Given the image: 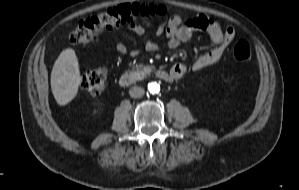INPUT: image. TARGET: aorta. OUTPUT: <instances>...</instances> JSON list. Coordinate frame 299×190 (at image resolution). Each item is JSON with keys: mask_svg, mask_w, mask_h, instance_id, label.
<instances>
[{"mask_svg": "<svg viewBox=\"0 0 299 190\" xmlns=\"http://www.w3.org/2000/svg\"><path fill=\"white\" fill-rule=\"evenodd\" d=\"M148 90L151 94H158L160 92V85L157 82L148 84Z\"/></svg>", "mask_w": 299, "mask_h": 190, "instance_id": "762f6f07", "label": "aorta"}]
</instances>
